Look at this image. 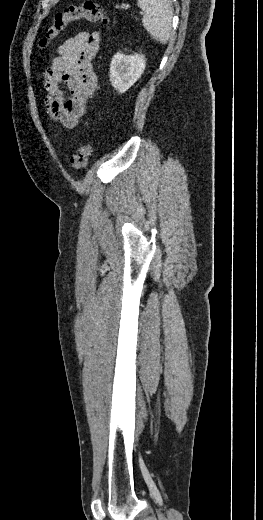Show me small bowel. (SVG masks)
<instances>
[{"mask_svg": "<svg viewBox=\"0 0 263 520\" xmlns=\"http://www.w3.org/2000/svg\"><path fill=\"white\" fill-rule=\"evenodd\" d=\"M99 46V32L78 33L59 47L57 57L42 74L47 92L45 110L51 120L65 128L77 126L96 90L97 76L92 61ZM63 86L67 88L68 96Z\"/></svg>", "mask_w": 263, "mask_h": 520, "instance_id": "1", "label": "small bowel"}]
</instances>
